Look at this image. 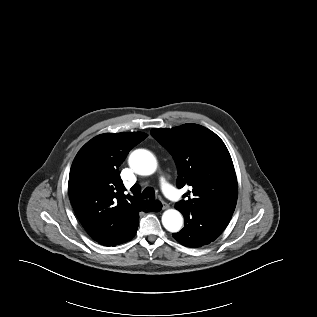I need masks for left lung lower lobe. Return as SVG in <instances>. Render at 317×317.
I'll list each match as a JSON object with an SVG mask.
<instances>
[{
	"instance_id": "obj_1",
	"label": "left lung lower lobe",
	"mask_w": 317,
	"mask_h": 317,
	"mask_svg": "<svg viewBox=\"0 0 317 317\" xmlns=\"http://www.w3.org/2000/svg\"><path fill=\"white\" fill-rule=\"evenodd\" d=\"M185 220V227L173 237L184 246L196 248L216 240L228 225L232 214L202 208L192 211H180Z\"/></svg>"
}]
</instances>
